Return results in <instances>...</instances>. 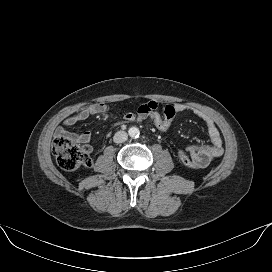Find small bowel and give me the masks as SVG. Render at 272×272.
Instances as JSON below:
<instances>
[{
  "label": "small bowel",
  "mask_w": 272,
  "mask_h": 272,
  "mask_svg": "<svg viewBox=\"0 0 272 272\" xmlns=\"http://www.w3.org/2000/svg\"><path fill=\"white\" fill-rule=\"evenodd\" d=\"M163 105L156 101H149L146 104L140 106L138 109L144 108H155L160 109ZM176 111L178 113L182 112H191L192 114L199 117L206 125L208 136H209V143L208 144H201V145H192L187 148L188 155L198 162L201 167H205L215 158L220 157L223 152V141L220 134V131L213 120L208 114L204 113L201 110L193 108L184 103H176L174 105ZM108 111V106L104 103H94L88 106H85L78 111L70 114L63 120L62 126L58 127L56 130V134L58 136L64 135L68 136L73 139L77 143L84 144L85 150L90 152L92 147L89 145L92 135L91 132L86 131L82 133H71L66 130V128L75 125L76 123L86 120L88 117L92 115L102 114ZM123 119L126 121H140L137 118V112H128L123 115Z\"/></svg>",
  "instance_id": "small-bowel-1"
}]
</instances>
